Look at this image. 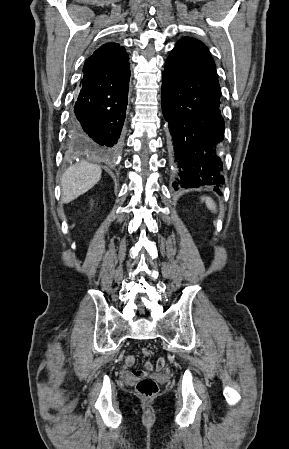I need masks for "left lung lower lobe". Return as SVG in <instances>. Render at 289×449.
Masks as SVG:
<instances>
[{
	"label": "left lung lower lobe",
	"mask_w": 289,
	"mask_h": 449,
	"mask_svg": "<svg viewBox=\"0 0 289 449\" xmlns=\"http://www.w3.org/2000/svg\"><path fill=\"white\" fill-rule=\"evenodd\" d=\"M215 64L208 58L174 48L165 63L162 111L167 146L176 164L173 187L224 184L220 144L224 119ZM218 194L219 189L214 188Z\"/></svg>",
	"instance_id": "obj_1"
}]
</instances>
